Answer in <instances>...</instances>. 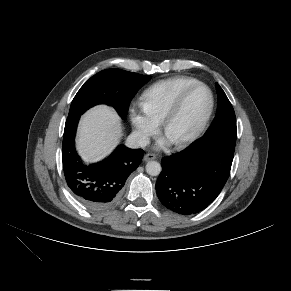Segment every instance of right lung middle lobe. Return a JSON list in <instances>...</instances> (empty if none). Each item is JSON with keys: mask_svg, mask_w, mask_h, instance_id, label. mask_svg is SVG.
Masks as SVG:
<instances>
[{"mask_svg": "<svg viewBox=\"0 0 291 291\" xmlns=\"http://www.w3.org/2000/svg\"><path fill=\"white\" fill-rule=\"evenodd\" d=\"M151 77L120 69H106L91 77L74 97L68 117L83 114L96 104L113 106L122 118L139 88Z\"/></svg>", "mask_w": 291, "mask_h": 291, "instance_id": "1", "label": "right lung middle lobe"}]
</instances>
